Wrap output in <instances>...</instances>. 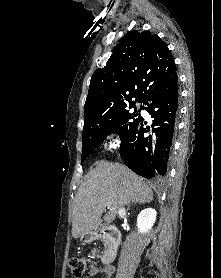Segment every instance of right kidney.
Masks as SVG:
<instances>
[{
    "instance_id": "1",
    "label": "right kidney",
    "mask_w": 221,
    "mask_h": 278,
    "mask_svg": "<svg viewBox=\"0 0 221 278\" xmlns=\"http://www.w3.org/2000/svg\"><path fill=\"white\" fill-rule=\"evenodd\" d=\"M157 212L153 208L142 210L137 217V228L139 233L148 232L156 220Z\"/></svg>"
}]
</instances>
